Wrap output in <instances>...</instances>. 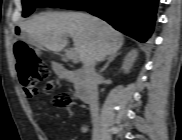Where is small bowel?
Returning a JSON list of instances; mask_svg holds the SVG:
<instances>
[{
	"instance_id": "obj_1",
	"label": "small bowel",
	"mask_w": 182,
	"mask_h": 140,
	"mask_svg": "<svg viewBox=\"0 0 182 140\" xmlns=\"http://www.w3.org/2000/svg\"><path fill=\"white\" fill-rule=\"evenodd\" d=\"M83 132H86L87 131V128L86 127H83ZM73 140V139H72Z\"/></svg>"
}]
</instances>
